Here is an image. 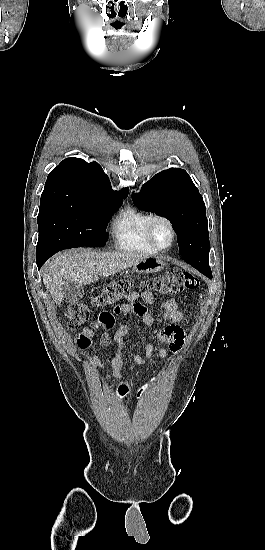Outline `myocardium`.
<instances>
[{
  "instance_id": "myocardium-1",
  "label": "myocardium",
  "mask_w": 265,
  "mask_h": 550,
  "mask_svg": "<svg viewBox=\"0 0 265 550\" xmlns=\"http://www.w3.org/2000/svg\"><path fill=\"white\" fill-rule=\"evenodd\" d=\"M157 222H163V223H165V224L168 226L169 230H170V233H171V240H170V243H169L168 246H165V247L160 246V245L156 242V240H155V238H154L153 228H154V225H155ZM146 237H147L149 243H150L157 251H165V250L170 249V248L173 246V244H174V242H175V240H176V230H175V227H174L172 221H171L169 218H167V217H165V216H162V215L155 214V215H152V216L149 218V220H148V222H147V224H146Z\"/></svg>"
}]
</instances>
